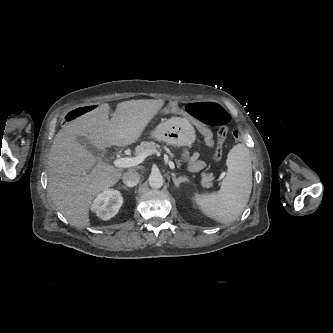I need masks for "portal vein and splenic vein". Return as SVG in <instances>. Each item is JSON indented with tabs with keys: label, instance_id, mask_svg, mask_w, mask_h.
<instances>
[{
	"label": "portal vein and splenic vein",
	"instance_id": "18ae733b",
	"mask_svg": "<svg viewBox=\"0 0 333 333\" xmlns=\"http://www.w3.org/2000/svg\"><path fill=\"white\" fill-rule=\"evenodd\" d=\"M158 156L160 155V152L154 151ZM153 152H142L139 155L135 156V157H125V158H119L116 159L114 161V165L118 168H128V167H133V166H137L139 164H141L144 159L152 154ZM165 157V161L167 162V164L169 165V167L171 169L175 168V165L172 161L169 160L168 156H164Z\"/></svg>",
	"mask_w": 333,
	"mask_h": 333
}]
</instances>
